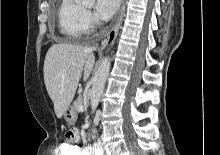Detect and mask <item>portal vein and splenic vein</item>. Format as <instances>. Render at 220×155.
<instances>
[{
  "label": "portal vein and splenic vein",
  "mask_w": 220,
  "mask_h": 155,
  "mask_svg": "<svg viewBox=\"0 0 220 155\" xmlns=\"http://www.w3.org/2000/svg\"><path fill=\"white\" fill-rule=\"evenodd\" d=\"M84 110V106L83 105H80L79 106V111H83Z\"/></svg>",
  "instance_id": "18ae733b"
}]
</instances>
